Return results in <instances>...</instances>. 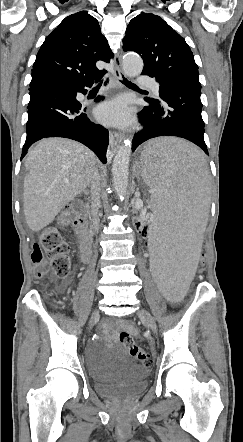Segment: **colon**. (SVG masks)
Returning <instances> with one entry per match:
<instances>
[{"label": "colon", "mask_w": 243, "mask_h": 442, "mask_svg": "<svg viewBox=\"0 0 243 442\" xmlns=\"http://www.w3.org/2000/svg\"><path fill=\"white\" fill-rule=\"evenodd\" d=\"M77 209L78 204H69L64 206L59 214V224L61 226L70 225L75 214L77 213ZM145 221L144 216H137L135 221L127 224L129 229H133L135 233L140 234V242L143 244H147L150 241V224ZM68 253L69 246L61 237L58 230L53 227L46 228L40 236L39 243H36L33 246L31 253V260L34 266V275L38 278L46 276L49 266H51L54 274L57 277H67L71 269V261ZM45 255L50 260V264L46 260ZM208 260V255H200L196 265L197 270H204L205 264L208 262ZM119 341L128 350L131 357L136 359L141 365L147 367L152 364V357H150L143 348L135 344L133 337L128 332H121L119 334Z\"/></svg>", "instance_id": "1"}]
</instances>
